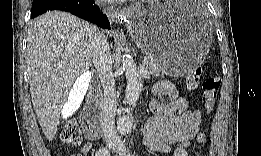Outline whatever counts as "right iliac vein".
Listing matches in <instances>:
<instances>
[{
	"mask_svg": "<svg viewBox=\"0 0 261 156\" xmlns=\"http://www.w3.org/2000/svg\"><path fill=\"white\" fill-rule=\"evenodd\" d=\"M108 147H109L110 149H115L116 144L109 142V143H108Z\"/></svg>",
	"mask_w": 261,
	"mask_h": 156,
	"instance_id": "obj_1",
	"label": "right iliac vein"
}]
</instances>
